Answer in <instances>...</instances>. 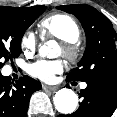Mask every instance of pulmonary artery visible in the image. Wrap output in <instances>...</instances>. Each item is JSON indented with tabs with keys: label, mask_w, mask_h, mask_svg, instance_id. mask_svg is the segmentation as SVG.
<instances>
[{
	"label": "pulmonary artery",
	"mask_w": 117,
	"mask_h": 117,
	"mask_svg": "<svg viewBox=\"0 0 117 117\" xmlns=\"http://www.w3.org/2000/svg\"><path fill=\"white\" fill-rule=\"evenodd\" d=\"M86 87H87V84H86V83H82V84H81V88H82V89H85Z\"/></svg>",
	"instance_id": "e3ab8cb5"
}]
</instances>
